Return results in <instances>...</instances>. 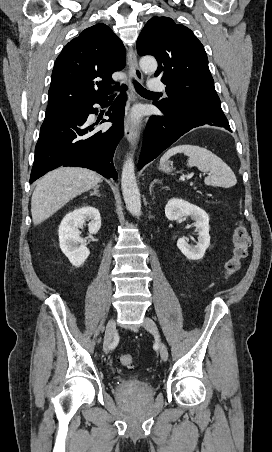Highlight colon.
<instances>
[{
    "label": "colon",
    "mask_w": 272,
    "mask_h": 452,
    "mask_svg": "<svg viewBox=\"0 0 272 452\" xmlns=\"http://www.w3.org/2000/svg\"><path fill=\"white\" fill-rule=\"evenodd\" d=\"M249 246V234L245 226L242 223H239L233 233L232 254L225 265L226 278L232 277L239 271L242 261L247 256ZM119 362L123 366L131 368L134 365V358L131 354H123L119 357Z\"/></svg>",
    "instance_id": "colon-1"
}]
</instances>
